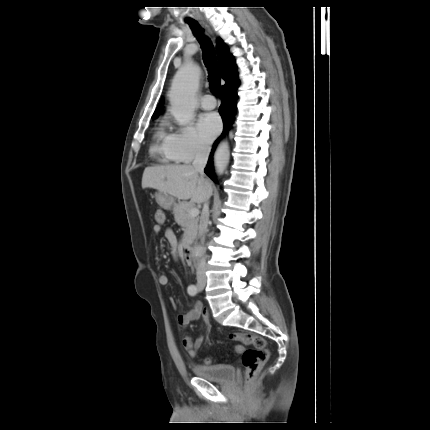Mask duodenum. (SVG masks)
Instances as JSON below:
<instances>
[{
  "label": "duodenum",
  "instance_id": "1",
  "mask_svg": "<svg viewBox=\"0 0 430 430\" xmlns=\"http://www.w3.org/2000/svg\"><path fill=\"white\" fill-rule=\"evenodd\" d=\"M183 257L188 265L191 266L193 264V250L192 247L188 244H186L183 248Z\"/></svg>",
  "mask_w": 430,
  "mask_h": 430
}]
</instances>
